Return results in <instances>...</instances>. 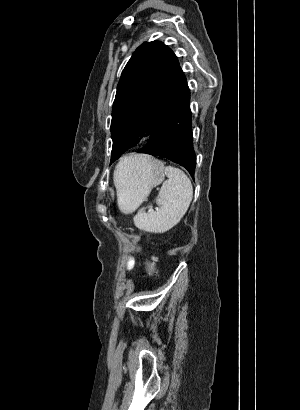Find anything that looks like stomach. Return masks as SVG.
Here are the masks:
<instances>
[{"label":"stomach","mask_w":300,"mask_h":410,"mask_svg":"<svg viewBox=\"0 0 300 410\" xmlns=\"http://www.w3.org/2000/svg\"><path fill=\"white\" fill-rule=\"evenodd\" d=\"M131 157L134 166L122 172L121 185L117 191L118 206L124 213L133 212L165 177L163 162L147 155L140 160Z\"/></svg>","instance_id":"obj_1"}]
</instances>
